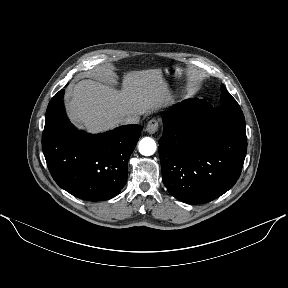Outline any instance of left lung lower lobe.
I'll return each instance as SVG.
<instances>
[{
	"label": "left lung lower lobe",
	"instance_id": "0a47b994",
	"mask_svg": "<svg viewBox=\"0 0 288 288\" xmlns=\"http://www.w3.org/2000/svg\"><path fill=\"white\" fill-rule=\"evenodd\" d=\"M159 140L162 179L169 193L188 204L208 203L238 180L247 150L245 124L220 116L198 98L163 115Z\"/></svg>",
	"mask_w": 288,
	"mask_h": 288
}]
</instances>
